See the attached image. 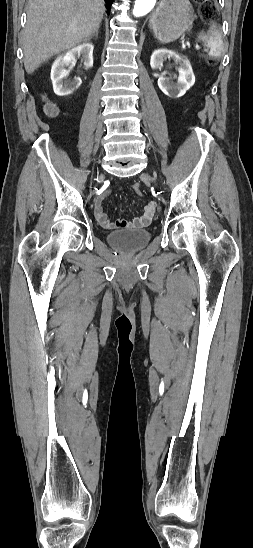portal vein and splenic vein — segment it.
Instances as JSON below:
<instances>
[{
    "instance_id": "obj_1",
    "label": "portal vein and splenic vein",
    "mask_w": 253,
    "mask_h": 548,
    "mask_svg": "<svg viewBox=\"0 0 253 548\" xmlns=\"http://www.w3.org/2000/svg\"><path fill=\"white\" fill-rule=\"evenodd\" d=\"M200 48L201 47L198 44L195 45V49L199 50Z\"/></svg>"
}]
</instances>
